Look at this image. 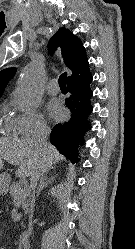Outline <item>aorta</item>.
I'll return each mask as SVG.
<instances>
[{
    "instance_id": "1",
    "label": "aorta",
    "mask_w": 135,
    "mask_h": 249,
    "mask_svg": "<svg viewBox=\"0 0 135 249\" xmlns=\"http://www.w3.org/2000/svg\"><path fill=\"white\" fill-rule=\"evenodd\" d=\"M45 71L41 64L33 63L23 73L16 92L19 105L28 112L36 110L42 99Z\"/></svg>"
}]
</instances>
